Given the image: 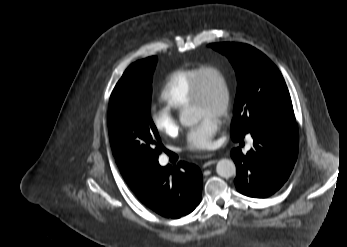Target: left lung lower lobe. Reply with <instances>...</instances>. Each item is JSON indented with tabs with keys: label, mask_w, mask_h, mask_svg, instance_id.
<instances>
[{
	"label": "left lung lower lobe",
	"mask_w": 347,
	"mask_h": 247,
	"mask_svg": "<svg viewBox=\"0 0 347 247\" xmlns=\"http://www.w3.org/2000/svg\"><path fill=\"white\" fill-rule=\"evenodd\" d=\"M253 148L244 155L231 151L237 176V190L249 197L266 198L279 190L291 174L298 154L296 124L270 123L249 133ZM244 137H232L237 142Z\"/></svg>",
	"instance_id": "obj_1"
}]
</instances>
